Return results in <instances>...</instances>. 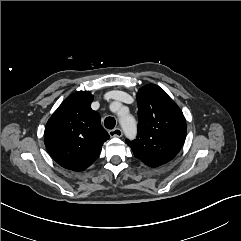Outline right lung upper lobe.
<instances>
[{"mask_svg":"<svg viewBox=\"0 0 241 241\" xmlns=\"http://www.w3.org/2000/svg\"><path fill=\"white\" fill-rule=\"evenodd\" d=\"M92 101L90 92H76L62 102L46 124L45 146L52 158L66 169L88 168L109 139L99 114L91 109Z\"/></svg>","mask_w":241,"mask_h":241,"instance_id":"cb5924a9","label":"right lung upper lobe"}]
</instances>
